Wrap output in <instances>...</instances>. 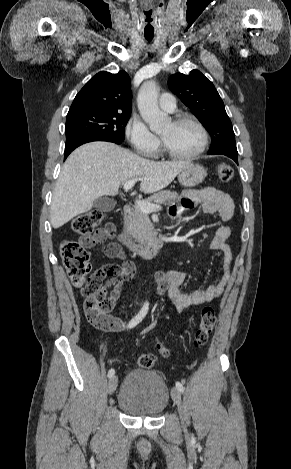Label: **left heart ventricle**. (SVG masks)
Here are the masks:
<instances>
[{
  "label": "left heart ventricle",
  "mask_w": 291,
  "mask_h": 469,
  "mask_svg": "<svg viewBox=\"0 0 291 469\" xmlns=\"http://www.w3.org/2000/svg\"><path fill=\"white\" fill-rule=\"evenodd\" d=\"M160 136L171 151L181 155L194 152L201 141L199 131L189 122H170L160 131Z\"/></svg>",
  "instance_id": "b2bd125f"
}]
</instances>
